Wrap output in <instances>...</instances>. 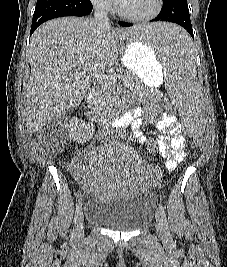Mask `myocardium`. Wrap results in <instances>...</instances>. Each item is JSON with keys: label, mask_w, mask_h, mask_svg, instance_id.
Masks as SVG:
<instances>
[{"label": "myocardium", "mask_w": 227, "mask_h": 267, "mask_svg": "<svg viewBox=\"0 0 227 267\" xmlns=\"http://www.w3.org/2000/svg\"><path fill=\"white\" fill-rule=\"evenodd\" d=\"M163 8V0H155V6H154V9L146 14V15H132V14H129L127 13L122 7L121 5L118 6V14L128 20V21H131V22H147V21H150L152 19H154L162 10Z\"/></svg>", "instance_id": "myocardium-1"}]
</instances>
